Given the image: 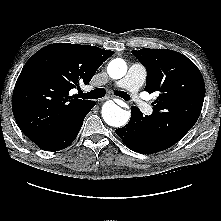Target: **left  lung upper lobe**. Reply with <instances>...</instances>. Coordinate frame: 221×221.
I'll return each instance as SVG.
<instances>
[{
    "label": "left lung upper lobe",
    "instance_id": "left-lung-upper-lobe-1",
    "mask_svg": "<svg viewBox=\"0 0 221 221\" xmlns=\"http://www.w3.org/2000/svg\"><path fill=\"white\" fill-rule=\"evenodd\" d=\"M132 54L147 69L145 91L159 94L153 114L143 118V125L167 149L199 118L205 96L203 77L190 59L173 50L144 48Z\"/></svg>",
    "mask_w": 221,
    "mask_h": 221
}]
</instances>
